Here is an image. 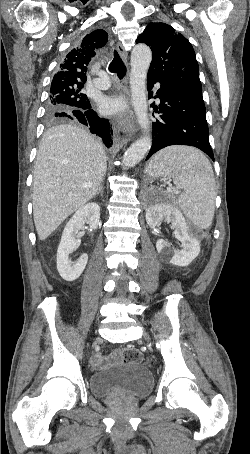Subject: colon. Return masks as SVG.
<instances>
[{"instance_id": "colon-1", "label": "colon", "mask_w": 250, "mask_h": 454, "mask_svg": "<svg viewBox=\"0 0 250 454\" xmlns=\"http://www.w3.org/2000/svg\"><path fill=\"white\" fill-rule=\"evenodd\" d=\"M124 362L141 363L143 361L142 353L135 347H127L118 353Z\"/></svg>"}]
</instances>
